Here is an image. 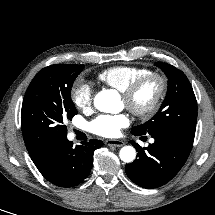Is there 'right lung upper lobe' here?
Here are the masks:
<instances>
[{
	"label": "right lung upper lobe",
	"mask_w": 215,
	"mask_h": 215,
	"mask_svg": "<svg viewBox=\"0 0 215 215\" xmlns=\"http://www.w3.org/2000/svg\"><path fill=\"white\" fill-rule=\"evenodd\" d=\"M26 147L28 149L29 155L31 159L33 160L34 164L36 166H39L43 163L46 155L52 150L53 147L51 148H46V149H36L31 147L30 145L26 144Z\"/></svg>",
	"instance_id": "obj_1"
}]
</instances>
